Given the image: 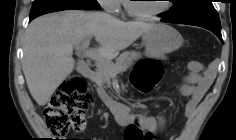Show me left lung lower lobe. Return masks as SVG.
Returning a JSON list of instances; mask_svg holds the SVG:
<instances>
[{
	"instance_id": "left-lung-lower-lobe-1",
	"label": "left lung lower lobe",
	"mask_w": 236,
	"mask_h": 140,
	"mask_svg": "<svg viewBox=\"0 0 236 140\" xmlns=\"http://www.w3.org/2000/svg\"><path fill=\"white\" fill-rule=\"evenodd\" d=\"M161 21L162 22H169L166 17H162ZM169 23H171V22H169ZM188 25H193V24H188ZM196 26H199V25H196ZM200 27H203V28L208 29L211 32H213L219 38V40L223 43L221 30H217V29H213V28H209V27H205V26H200Z\"/></svg>"
}]
</instances>
